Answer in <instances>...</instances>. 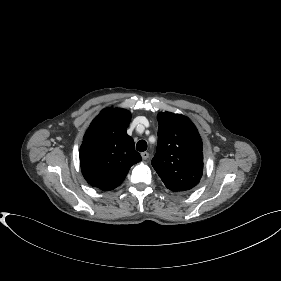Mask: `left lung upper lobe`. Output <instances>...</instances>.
Returning <instances> with one entry per match:
<instances>
[{
    "instance_id": "left-lung-upper-lobe-1",
    "label": "left lung upper lobe",
    "mask_w": 281,
    "mask_h": 281,
    "mask_svg": "<svg viewBox=\"0 0 281 281\" xmlns=\"http://www.w3.org/2000/svg\"><path fill=\"white\" fill-rule=\"evenodd\" d=\"M157 119L158 145L152 166L169 190L188 192L199 183L203 174L200 135L184 115L161 112Z\"/></svg>"
}]
</instances>
